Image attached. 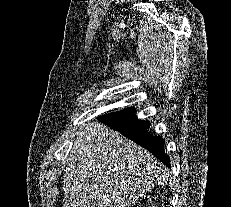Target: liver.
<instances>
[{"instance_id": "obj_1", "label": "liver", "mask_w": 231, "mask_h": 207, "mask_svg": "<svg viewBox=\"0 0 231 207\" xmlns=\"http://www.w3.org/2000/svg\"><path fill=\"white\" fill-rule=\"evenodd\" d=\"M66 161L62 207H132L168 174L147 150L98 122L80 128Z\"/></svg>"}]
</instances>
